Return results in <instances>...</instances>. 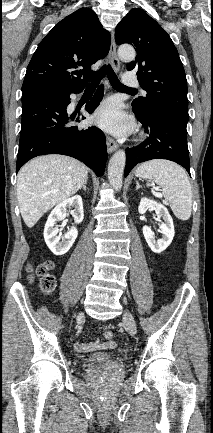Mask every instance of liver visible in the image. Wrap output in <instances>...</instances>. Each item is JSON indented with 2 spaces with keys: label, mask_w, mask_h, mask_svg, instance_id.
I'll return each instance as SVG.
<instances>
[{
  "label": "liver",
  "mask_w": 213,
  "mask_h": 433,
  "mask_svg": "<svg viewBox=\"0 0 213 433\" xmlns=\"http://www.w3.org/2000/svg\"><path fill=\"white\" fill-rule=\"evenodd\" d=\"M88 179V168L65 155L50 154L26 163L17 177V199L31 228L55 205L75 194Z\"/></svg>",
  "instance_id": "liver-1"
}]
</instances>
